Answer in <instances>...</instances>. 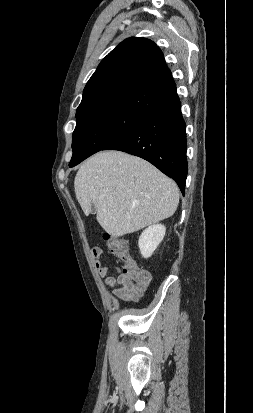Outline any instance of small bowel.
I'll return each instance as SVG.
<instances>
[{
    "label": "small bowel",
    "instance_id": "small-bowel-1",
    "mask_svg": "<svg viewBox=\"0 0 253 413\" xmlns=\"http://www.w3.org/2000/svg\"><path fill=\"white\" fill-rule=\"evenodd\" d=\"M103 249L100 246H93L91 256L95 269L100 277L103 278L104 284L113 288V295L124 302H136L144 294L147 285H137L130 278L125 276L121 269L116 267V273L110 274L109 268L102 265L101 257Z\"/></svg>",
    "mask_w": 253,
    "mask_h": 413
}]
</instances>
